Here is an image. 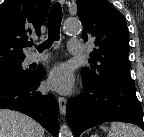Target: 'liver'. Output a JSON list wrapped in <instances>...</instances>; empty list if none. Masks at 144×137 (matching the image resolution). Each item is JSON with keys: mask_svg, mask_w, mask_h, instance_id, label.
I'll return each instance as SVG.
<instances>
[{"mask_svg": "<svg viewBox=\"0 0 144 137\" xmlns=\"http://www.w3.org/2000/svg\"><path fill=\"white\" fill-rule=\"evenodd\" d=\"M44 128L32 118L9 109H0V137H43Z\"/></svg>", "mask_w": 144, "mask_h": 137, "instance_id": "1", "label": "liver"}]
</instances>
